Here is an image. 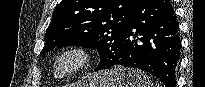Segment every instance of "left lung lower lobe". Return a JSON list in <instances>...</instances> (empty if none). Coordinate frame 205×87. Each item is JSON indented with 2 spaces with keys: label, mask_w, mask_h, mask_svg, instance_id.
<instances>
[{
  "label": "left lung lower lobe",
  "mask_w": 205,
  "mask_h": 87,
  "mask_svg": "<svg viewBox=\"0 0 205 87\" xmlns=\"http://www.w3.org/2000/svg\"><path fill=\"white\" fill-rule=\"evenodd\" d=\"M179 25L170 0H138L118 54L96 71L116 65L150 72L175 87L180 59Z\"/></svg>",
  "instance_id": "1"
}]
</instances>
